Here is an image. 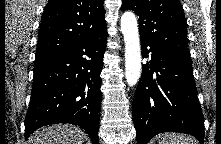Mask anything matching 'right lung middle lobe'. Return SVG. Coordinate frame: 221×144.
Returning <instances> with one entry per match:
<instances>
[{
	"label": "right lung middle lobe",
	"mask_w": 221,
	"mask_h": 144,
	"mask_svg": "<svg viewBox=\"0 0 221 144\" xmlns=\"http://www.w3.org/2000/svg\"><path fill=\"white\" fill-rule=\"evenodd\" d=\"M50 57L51 56H46V55L36 56L35 64L39 63V62H42V61H45V60L49 59Z\"/></svg>",
	"instance_id": "dd1d6c3e"
}]
</instances>
